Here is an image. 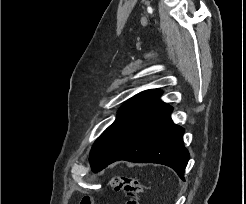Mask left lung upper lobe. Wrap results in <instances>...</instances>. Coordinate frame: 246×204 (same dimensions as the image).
Segmentation results:
<instances>
[{"instance_id":"1","label":"left lung upper lobe","mask_w":246,"mask_h":204,"mask_svg":"<svg viewBox=\"0 0 246 204\" xmlns=\"http://www.w3.org/2000/svg\"><path fill=\"white\" fill-rule=\"evenodd\" d=\"M159 91V89H152V90H146L143 91L137 95H135L134 97H132L131 99H129L119 110L118 112V116L116 118V120L118 118H120L122 115H124L125 113H127L129 110H131L132 108H134L135 106H137L138 104H140L141 102H143L144 100H146L147 98L151 97L152 95H154L155 93H157Z\"/></svg>"}]
</instances>
